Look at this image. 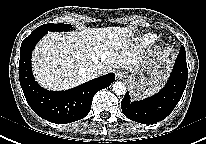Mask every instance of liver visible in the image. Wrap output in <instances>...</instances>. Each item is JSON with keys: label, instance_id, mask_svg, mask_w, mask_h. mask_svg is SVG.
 Listing matches in <instances>:
<instances>
[{"label": "liver", "instance_id": "6515ba94", "mask_svg": "<svg viewBox=\"0 0 206 144\" xmlns=\"http://www.w3.org/2000/svg\"><path fill=\"white\" fill-rule=\"evenodd\" d=\"M136 40L132 27L49 33L35 47L33 73L42 87L67 90L90 80L86 70L91 66L101 67L103 74L118 68H133L141 58L133 47Z\"/></svg>", "mask_w": 206, "mask_h": 144}]
</instances>
